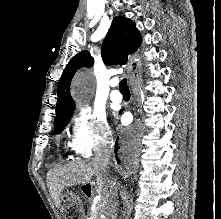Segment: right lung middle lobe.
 <instances>
[{
    "mask_svg": "<svg viewBox=\"0 0 221 219\" xmlns=\"http://www.w3.org/2000/svg\"><path fill=\"white\" fill-rule=\"evenodd\" d=\"M74 109L68 111L66 114L55 118L54 121V129L55 133H60L63 128L69 123L71 116L73 114Z\"/></svg>",
    "mask_w": 221,
    "mask_h": 219,
    "instance_id": "obj_1",
    "label": "right lung middle lobe"
}]
</instances>
